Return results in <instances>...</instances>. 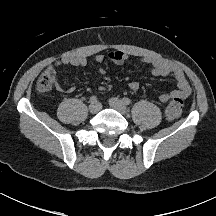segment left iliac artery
Listing matches in <instances>:
<instances>
[{"mask_svg": "<svg viewBox=\"0 0 216 216\" xmlns=\"http://www.w3.org/2000/svg\"><path fill=\"white\" fill-rule=\"evenodd\" d=\"M122 101H123V103H124L125 105H130V104H131V100H130L129 98H127V97H124V98L122 99Z\"/></svg>", "mask_w": 216, "mask_h": 216, "instance_id": "obj_1", "label": "left iliac artery"}]
</instances>
